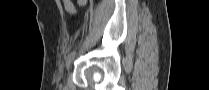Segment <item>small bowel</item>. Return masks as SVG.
<instances>
[{"label":"small bowel","instance_id":"1","mask_svg":"<svg viewBox=\"0 0 209 90\" xmlns=\"http://www.w3.org/2000/svg\"><path fill=\"white\" fill-rule=\"evenodd\" d=\"M63 3H64V8H65V10L68 13H70L71 15H75V16L78 14L77 13V10H76V8H75V6H74V4H73L72 1H70V0H64ZM78 3L80 5H86L87 4V1L79 0Z\"/></svg>","mask_w":209,"mask_h":90}]
</instances>
